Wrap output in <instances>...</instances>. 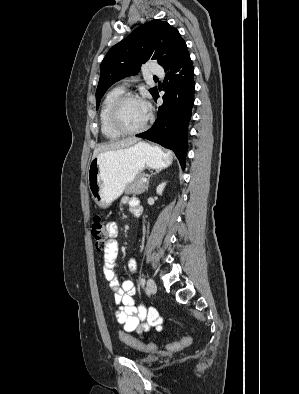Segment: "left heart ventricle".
<instances>
[{
    "label": "left heart ventricle",
    "instance_id": "left-heart-ventricle-1",
    "mask_svg": "<svg viewBox=\"0 0 299 394\" xmlns=\"http://www.w3.org/2000/svg\"><path fill=\"white\" fill-rule=\"evenodd\" d=\"M148 111L142 101L128 100L120 109V122L127 129H135L146 120Z\"/></svg>",
    "mask_w": 299,
    "mask_h": 394
}]
</instances>
